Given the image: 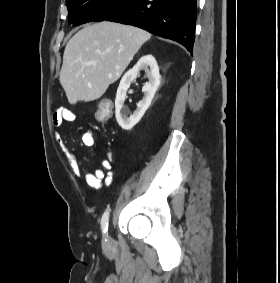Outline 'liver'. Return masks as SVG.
Wrapping results in <instances>:
<instances>
[{
    "instance_id": "6515ba94",
    "label": "liver",
    "mask_w": 280,
    "mask_h": 283,
    "mask_svg": "<svg viewBox=\"0 0 280 283\" xmlns=\"http://www.w3.org/2000/svg\"><path fill=\"white\" fill-rule=\"evenodd\" d=\"M150 38L138 27L106 21L78 31L65 47L60 72L68 101L99 99Z\"/></svg>"
}]
</instances>
